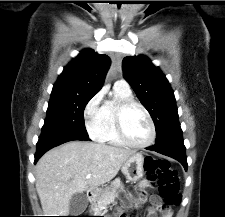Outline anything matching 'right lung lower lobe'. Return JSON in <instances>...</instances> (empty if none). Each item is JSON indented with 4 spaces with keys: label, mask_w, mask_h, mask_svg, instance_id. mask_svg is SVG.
Returning <instances> with one entry per match:
<instances>
[{
    "label": "right lung lower lobe",
    "mask_w": 225,
    "mask_h": 217,
    "mask_svg": "<svg viewBox=\"0 0 225 217\" xmlns=\"http://www.w3.org/2000/svg\"><path fill=\"white\" fill-rule=\"evenodd\" d=\"M73 140H89V138L59 133L41 134L36 145L37 151L35 155V162L49 149Z\"/></svg>",
    "instance_id": "1"
}]
</instances>
